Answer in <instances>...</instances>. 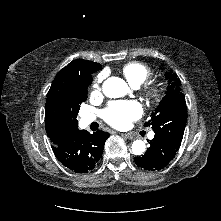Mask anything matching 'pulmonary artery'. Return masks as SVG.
<instances>
[{
  "mask_svg": "<svg viewBox=\"0 0 221 221\" xmlns=\"http://www.w3.org/2000/svg\"><path fill=\"white\" fill-rule=\"evenodd\" d=\"M136 87H137V86H136ZM94 119H95V116L92 115V114H85V115L82 116V121H83V123H85V124L91 123L92 121H94ZM148 137H149L150 139L154 138V132H150L149 135H148Z\"/></svg>",
  "mask_w": 221,
  "mask_h": 221,
  "instance_id": "e3ab8cb5",
  "label": "pulmonary artery"
}]
</instances>
